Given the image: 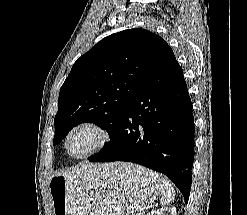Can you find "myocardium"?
Wrapping results in <instances>:
<instances>
[{
	"label": "myocardium",
	"mask_w": 247,
	"mask_h": 215,
	"mask_svg": "<svg viewBox=\"0 0 247 215\" xmlns=\"http://www.w3.org/2000/svg\"><path fill=\"white\" fill-rule=\"evenodd\" d=\"M90 129L96 134V141L92 148L82 155H74L69 150V140L71 136L80 129ZM109 132L98 122L93 120H82L75 123L66 133L64 137V149L67 155L76 160L87 159L100 152L109 142Z\"/></svg>",
	"instance_id": "1"
}]
</instances>
